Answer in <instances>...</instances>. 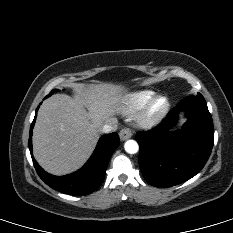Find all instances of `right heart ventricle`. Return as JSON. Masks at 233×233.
<instances>
[{"label": "right heart ventricle", "mask_w": 233, "mask_h": 233, "mask_svg": "<svg viewBox=\"0 0 233 233\" xmlns=\"http://www.w3.org/2000/svg\"><path fill=\"white\" fill-rule=\"evenodd\" d=\"M154 96L155 92L152 90L131 92L123 97L120 109L124 114L137 113Z\"/></svg>", "instance_id": "right-heart-ventricle-1"}]
</instances>
